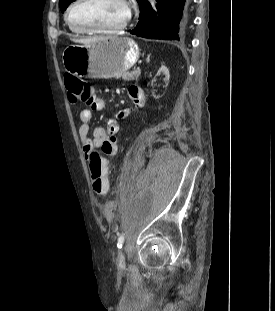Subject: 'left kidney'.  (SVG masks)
Here are the masks:
<instances>
[{
	"mask_svg": "<svg viewBox=\"0 0 275 311\" xmlns=\"http://www.w3.org/2000/svg\"><path fill=\"white\" fill-rule=\"evenodd\" d=\"M158 78L160 82H152L151 87L152 89H167L169 83V70L166 66H161L158 73ZM155 99H158L160 96L153 95Z\"/></svg>",
	"mask_w": 275,
	"mask_h": 311,
	"instance_id": "5707ae66",
	"label": "left kidney"
}]
</instances>
